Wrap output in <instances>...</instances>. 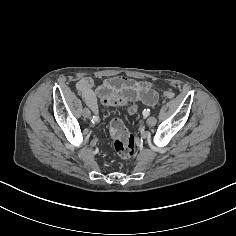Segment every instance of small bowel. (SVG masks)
I'll list each match as a JSON object with an SVG mask.
<instances>
[{
	"label": "small bowel",
	"mask_w": 236,
	"mask_h": 236,
	"mask_svg": "<svg viewBox=\"0 0 236 236\" xmlns=\"http://www.w3.org/2000/svg\"><path fill=\"white\" fill-rule=\"evenodd\" d=\"M76 88L95 114L99 112L97 98L109 93L126 94L132 102L128 107L129 113L136 112L137 102L147 105H153L157 102V95L152 90L150 84L129 80L124 77L111 78L97 88H94L93 79L84 76L77 82Z\"/></svg>",
	"instance_id": "small-bowel-1"
}]
</instances>
